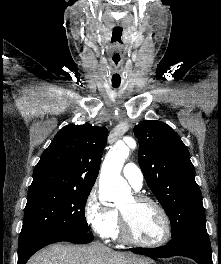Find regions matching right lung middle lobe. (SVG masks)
I'll use <instances>...</instances> for the list:
<instances>
[{
    "label": "right lung middle lobe",
    "mask_w": 221,
    "mask_h": 264,
    "mask_svg": "<svg viewBox=\"0 0 221 264\" xmlns=\"http://www.w3.org/2000/svg\"><path fill=\"white\" fill-rule=\"evenodd\" d=\"M90 191L56 187L29 191L19 243L41 235L90 232L84 212Z\"/></svg>",
    "instance_id": "right-lung-middle-lobe-1"
}]
</instances>
